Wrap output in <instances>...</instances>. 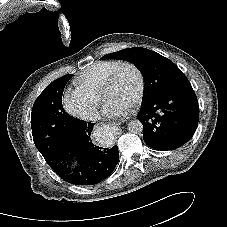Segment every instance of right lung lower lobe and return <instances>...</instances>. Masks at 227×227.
Wrapping results in <instances>:
<instances>
[{
    "label": "right lung lower lobe",
    "instance_id": "98d812e1",
    "mask_svg": "<svg viewBox=\"0 0 227 227\" xmlns=\"http://www.w3.org/2000/svg\"><path fill=\"white\" fill-rule=\"evenodd\" d=\"M94 123L72 117L57 135V143L44 156L47 164L66 182L94 185L106 179L119 161V151L102 148L90 138ZM77 162V165H73Z\"/></svg>",
    "mask_w": 227,
    "mask_h": 227
}]
</instances>
